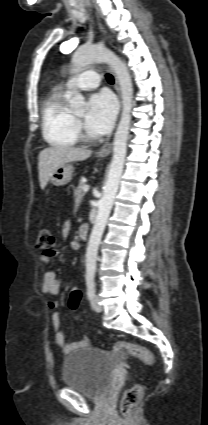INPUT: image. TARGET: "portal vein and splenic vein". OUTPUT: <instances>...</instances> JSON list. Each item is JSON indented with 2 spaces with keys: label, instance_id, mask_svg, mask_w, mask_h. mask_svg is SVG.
Returning <instances> with one entry per match:
<instances>
[{
  "label": "portal vein and splenic vein",
  "instance_id": "18ae733b",
  "mask_svg": "<svg viewBox=\"0 0 208 425\" xmlns=\"http://www.w3.org/2000/svg\"><path fill=\"white\" fill-rule=\"evenodd\" d=\"M83 191H84V192H88V191H89V185H85V186L83 187Z\"/></svg>",
  "mask_w": 208,
  "mask_h": 425
}]
</instances>
